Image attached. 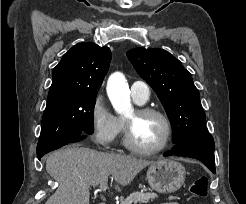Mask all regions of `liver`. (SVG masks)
Instances as JSON below:
<instances>
[{
    "label": "liver",
    "instance_id": "6515ba94",
    "mask_svg": "<svg viewBox=\"0 0 246 204\" xmlns=\"http://www.w3.org/2000/svg\"><path fill=\"white\" fill-rule=\"evenodd\" d=\"M154 163L132 156L103 153L85 147H69L50 154L47 172L59 183L45 204H89L90 186L107 182L111 175L116 190L130 184L136 175Z\"/></svg>",
    "mask_w": 246,
    "mask_h": 204
}]
</instances>
